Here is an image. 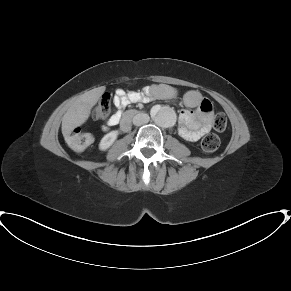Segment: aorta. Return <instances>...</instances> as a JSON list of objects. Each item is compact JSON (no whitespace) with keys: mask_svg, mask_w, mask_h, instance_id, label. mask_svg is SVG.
Wrapping results in <instances>:
<instances>
[{"mask_svg":"<svg viewBox=\"0 0 291 291\" xmlns=\"http://www.w3.org/2000/svg\"><path fill=\"white\" fill-rule=\"evenodd\" d=\"M152 117L158 126L164 128L173 126L176 120V114L174 110L166 106L153 109Z\"/></svg>","mask_w":291,"mask_h":291,"instance_id":"obj_1","label":"aorta"}]
</instances>
